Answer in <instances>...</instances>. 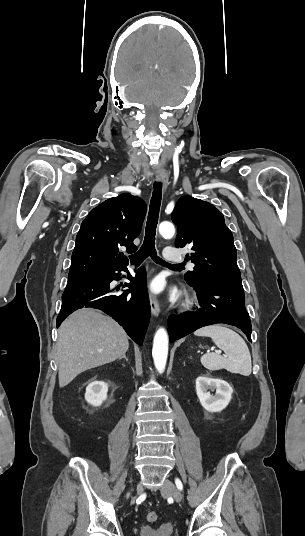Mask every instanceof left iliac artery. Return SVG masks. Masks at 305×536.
Instances as JSON below:
<instances>
[{"instance_id": "left-iliac-artery-1", "label": "left iliac artery", "mask_w": 305, "mask_h": 536, "mask_svg": "<svg viewBox=\"0 0 305 536\" xmlns=\"http://www.w3.org/2000/svg\"><path fill=\"white\" fill-rule=\"evenodd\" d=\"M175 483H176V486L179 490H182L183 486H182V483L179 479H176L175 480Z\"/></svg>"}]
</instances>
